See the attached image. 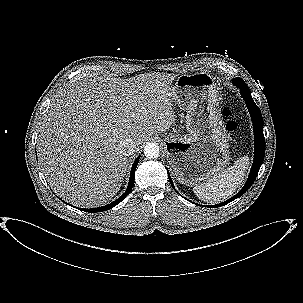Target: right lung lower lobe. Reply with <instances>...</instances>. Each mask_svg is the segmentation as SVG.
<instances>
[{
	"label": "right lung lower lobe",
	"mask_w": 303,
	"mask_h": 303,
	"mask_svg": "<svg viewBox=\"0 0 303 303\" xmlns=\"http://www.w3.org/2000/svg\"><path fill=\"white\" fill-rule=\"evenodd\" d=\"M139 156L135 159L133 165H132V168H131V173H130V179H129V183H128V187L125 191V193L120 196L117 200H115L114 202L108 204V205H105V206H102V207H98V208H90V209H81L80 210H85L87 212H102V211H106V210H109L111 208H113L114 206H116L117 204H119L122 200H124V198L130 193V191L132 190V187H133V184H134V179H135V169L138 165V161H139Z\"/></svg>",
	"instance_id": "right-lung-lower-lobe-1"
}]
</instances>
